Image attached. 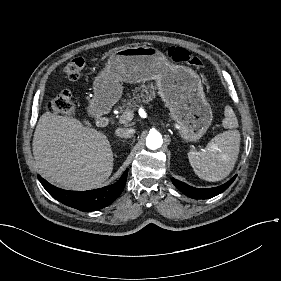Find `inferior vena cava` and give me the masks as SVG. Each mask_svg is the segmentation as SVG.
I'll use <instances>...</instances> for the list:
<instances>
[{
  "label": "inferior vena cava",
  "instance_id": "obj_1",
  "mask_svg": "<svg viewBox=\"0 0 281 281\" xmlns=\"http://www.w3.org/2000/svg\"><path fill=\"white\" fill-rule=\"evenodd\" d=\"M132 135L130 130L123 129L119 131V136L120 137H130Z\"/></svg>",
  "mask_w": 281,
  "mask_h": 281
}]
</instances>
